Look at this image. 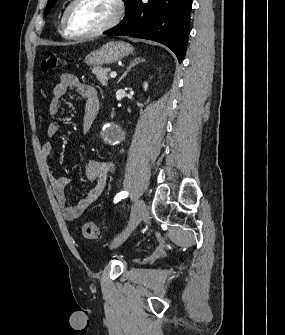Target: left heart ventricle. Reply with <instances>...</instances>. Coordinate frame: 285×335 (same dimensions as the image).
I'll return each instance as SVG.
<instances>
[{
  "mask_svg": "<svg viewBox=\"0 0 285 335\" xmlns=\"http://www.w3.org/2000/svg\"><path fill=\"white\" fill-rule=\"evenodd\" d=\"M113 12L108 1H85L75 9L74 25L83 31L95 30L107 23Z\"/></svg>",
  "mask_w": 285,
  "mask_h": 335,
  "instance_id": "1",
  "label": "left heart ventricle"
}]
</instances>
